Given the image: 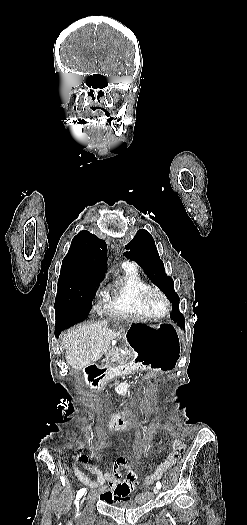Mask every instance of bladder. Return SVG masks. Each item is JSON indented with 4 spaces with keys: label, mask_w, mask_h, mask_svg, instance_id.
<instances>
[{
    "label": "bladder",
    "mask_w": 247,
    "mask_h": 525,
    "mask_svg": "<svg viewBox=\"0 0 247 525\" xmlns=\"http://www.w3.org/2000/svg\"><path fill=\"white\" fill-rule=\"evenodd\" d=\"M144 498V494H140L139 496H135L133 499L128 501H118L113 503V507L119 508L121 510H131L137 507H143L142 504L144 501L142 499Z\"/></svg>",
    "instance_id": "bladder-1"
}]
</instances>
